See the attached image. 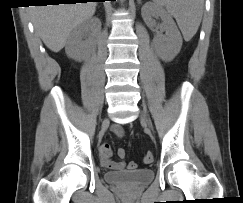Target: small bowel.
I'll return each instance as SVG.
<instances>
[{
    "label": "small bowel",
    "mask_w": 243,
    "mask_h": 203,
    "mask_svg": "<svg viewBox=\"0 0 243 203\" xmlns=\"http://www.w3.org/2000/svg\"><path fill=\"white\" fill-rule=\"evenodd\" d=\"M112 132L118 137H122L124 135L123 129L120 125H113ZM120 150V149H119ZM118 150V156L120 158H124L125 155H120ZM99 156L101 165L108 169L114 170H122L124 169V162H113L111 161L112 156V148L108 143H102L99 147Z\"/></svg>",
    "instance_id": "obj_1"
}]
</instances>
